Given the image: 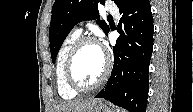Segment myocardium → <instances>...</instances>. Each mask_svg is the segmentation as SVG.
<instances>
[{"label": "myocardium", "instance_id": "obj_1", "mask_svg": "<svg viewBox=\"0 0 193 112\" xmlns=\"http://www.w3.org/2000/svg\"><path fill=\"white\" fill-rule=\"evenodd\" d=\"M88 43H95L102 48L104 53V58H105V65H104L103 72L100 75V77L97 79V81L91 85L85 86V85H81L76 80L73 73V64H74L76 55L78 54L80 49ZM110 70H111V58L109 54L104 50L99 40L92 36L80 37L71 47L65 63V76H66L67 83L71 87V89H73L78 93L89 92L100 87L108 78Z\"/></svg>", "mask_w": 193, "mask_h": 112}]
</instances>
